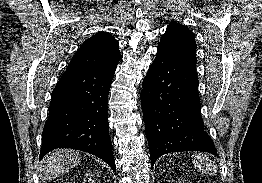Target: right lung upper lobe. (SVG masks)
I'll list each match as a JSON object with an SVG mask.
<instances>
[{"label": "right lung upper lobe", "mask_w": 262, "mask_h": 183, "mask_svg": "<svg viewBox=\"0 0 262 183\" xmlns=\"http://www.w3.org/2000/svg\"><path fill=\"white\" fill-rule=\"evenodd\" d=\"M122 59L119 43L107 32H98L80 46L67 70L106 69Z\"/></svg>", "instance_id": "1"}]
</instances>
